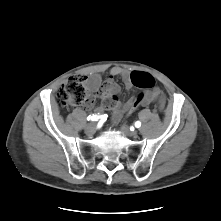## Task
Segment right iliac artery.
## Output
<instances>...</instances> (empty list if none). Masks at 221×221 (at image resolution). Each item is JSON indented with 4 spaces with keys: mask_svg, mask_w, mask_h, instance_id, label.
Returning a JSON list of instances; mask_svg holds the SVG:
<instances>
[{
    "mask_svg": "<svg viewBox=\"0 0 221 221\" xmlns=\"http://www.w3.org/2000/svg\"><path fill=\"white\" fill-rule=\"evenodd\" d=\"M99 118H100V117H99L98 115H94V114H93V115H89L87 119H88V120H91V121H98Z\"/></svg>",
    "mask_w": 221,
    "mask_h": 221,
    "instance_id": "1",
    "label": "right iliac artery"
}]
</instances>
